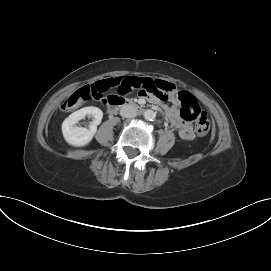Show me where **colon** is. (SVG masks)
<instances>
[{
	"label": "colon",
	"mask_w": 271,
	"mask_h": 271,
	"mask_svg": "<svg viewBox=\"0 0 271 271\" xmlns=\"http://www.w3.org/2000/svg\"><path fill=\"white\" fill-rule=\"evenodd\" d=\"M158 89H163L158 85ZM106 90L101 88L99 90H95L89 86H85L77 91H75L72 95H70L63 103V110H72L80 106L82 103L92 99L99 98L103 92ZM114 96H109L108 100ZM179 104L181 105L180 115L185 121H193L195 123L196 132L204 136L210 130V120L207 114L202 111L198 105L196 98L185 91L178 93Z\"/></svg>",
	"instance_id": "obj_1"
}]
</instances>
